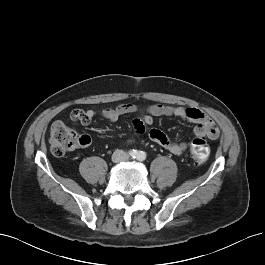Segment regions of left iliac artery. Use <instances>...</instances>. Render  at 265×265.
<instances>
[{"label":"left iliac artery","instance_id":"left-iliac-artery-1","mask_svg":"<svg viewBox=\"0 0 265 265\" xmlns=\"http://www.w3.org/2000/svg\"><path fill=\"white\" fill-rule=\"evenodd\" d=\"M145 158H146V154L144 152L141 151V152L138 153L137 159L139 161H144Z\"/></svg>","mask_w":265,"mask_h":265}]
</instances>
